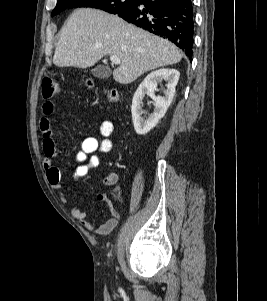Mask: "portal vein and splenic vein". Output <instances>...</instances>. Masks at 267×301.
Returning <instances> with one entry per match:
<instances>
[{
  "label": "portal vein and splenic vein",
  "mask_w": 267,
  "mask_h": 301,
  "mask_svg": "<svg viewBox=\"0 0 267 301\" xmlns=\"http://www.w3.org/2000/svg\"><path fill=\"white\" fill-rule=\"evenodd\" d=\"M110 60H111V62L114 63V64H120L119 58H118L117 56H115V55H111V56H110Z\"/></svg>",
  "instance_id": "obj_1"
}]
</instances>
